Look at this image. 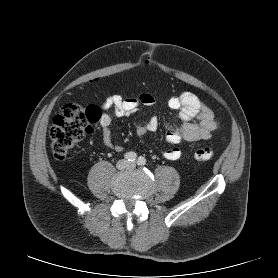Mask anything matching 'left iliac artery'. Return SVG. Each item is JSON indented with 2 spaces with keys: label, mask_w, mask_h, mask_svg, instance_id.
<instances>
[{
  "label": "left iliac artery",
  "mask_w": 278,
  "mask_h": 278,
  "mask_svg": "<svg viewBox=\"0 0 278 278\" xmlns=\"http://www.w3.org/2000/svg\"><path fill=\"white\" fill-rule=\"evenodd\" d=\"M137 164L140 166H144L146 164V159L142 156H140L137 160Z\"/></svg>",
  "instance_id": "44dca946"
}]
</instances>
